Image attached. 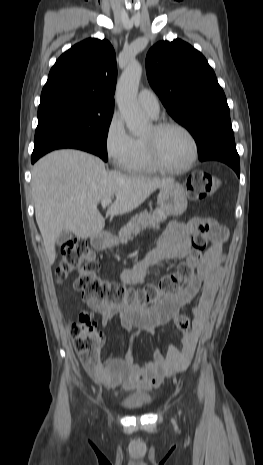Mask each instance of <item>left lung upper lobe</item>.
I'll return each instance as SVG.
<instances>
[{
  "instance_id": "5c2ea615",
  "label": "left lung upper lobe",
  "mask_w": 263,
  "mask_h": 465,
  "mask_svg": "<svg viewBox=\"0 0 263 465\" xmlns=\"http://www.w3.org/2000/svg\"><path fill=\"white\" fill-rule=\"evenodd\" d=\"M147 76L168 113L187 128L198 155L235 143L225 94L205 57L175 39L155 44L146 57Z\"/></svg>"
}]
</instances>
